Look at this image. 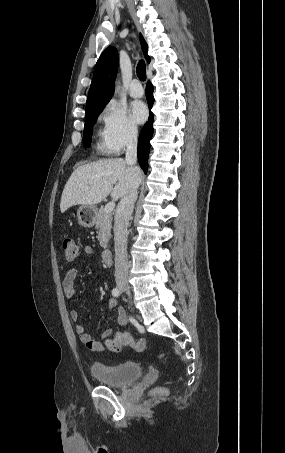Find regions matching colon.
Segmentation results:
<instances>
[{
  "label": "colon",
  "instance_id": "1",
  "mask_svg": "<svg viewBox=\"0 0 285 453\" xmlns=\"http://www.w3.org/2000/svg\"><path fill=\"white\" fill-rule=\"evenodd\" d=\"M63 249L65 258L68 261L75 260L80 254V247L73 239H65L63 241ZM106 345L108 349L114 353L120 352L124 346H129L136 352H144L149 348V344L145 339L135 340L129 333L126 332L115 333L112 338H108L106 340ZM160 359L165 362L163 354L160 355ZM155 393L158 395H165L167 394V389L165 387H159L155 390Z\"/></svg>",
  "mask_w": 285,
  "mask_h": 453
}]
</instances>
